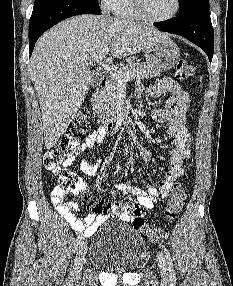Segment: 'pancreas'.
Instances as JSON below:
<instances>
[{"instance_id": "pancreas-1", "label": "pancreas", "mask_w": 233, "mask_h": 286, "mask_svg": "<svg viewBox=\"0 0 233 286\" xmlns=\"http://www.w3.org/2000/svg\"><path fill=\"white\" fill-rule=\"evenodd\" d=\"M118 76L132 74L133 79L152 78L159 75L145 63L128 61V65L119 67L116 71ZM107 86L100 92L97 102L94 107L97 110L99 117L102 120H110L115 118L117 110V95L120 88V83L117 77L110 75Z\"/></svg>"}]
</instances>
